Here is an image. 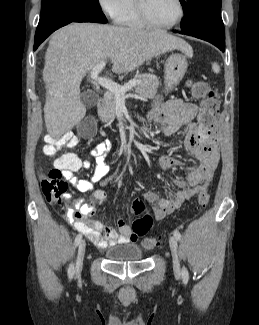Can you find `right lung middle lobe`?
Here are the masks:
<instances>
[{
    "label": "right lung middle lobe",
    "instance_id": "obj_1",
    "mask_svg": "<svg viewBox=\"0 0 259 325\" xmlns=\"http://www.w3.org/2000/svg\"><path fill=\"white\" fill-rule=\"evenodd\" d=\"M61 20L106 23L99 0H42L36 34Z\"/></svg>",
    "mask_w": 259,
    "mask_h": 325
}]
</instances>
